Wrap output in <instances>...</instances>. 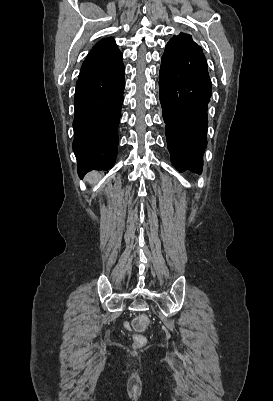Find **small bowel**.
Listing matches in <instances>:
<instances>
[{"instance_id": "small-bowel-1", "label": "small bowel", "mask_w": 273, "mask_h": 401, "mask_svg": "<svg viewBox=\"0 0 273 401\" xmlns=\"http://www.w3.org/2000/svg\"><path fill=\"white\" fill-rule=\"evenodd\" d=\"M123 323H124V327H125L126 329H129V328L131 327L130 320H129L128 318H125V319L123 320ZM129 331H130V330H129Z\"/></svg>"}]
</instances>
